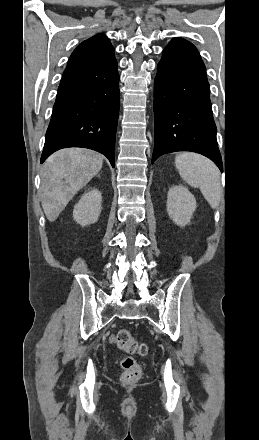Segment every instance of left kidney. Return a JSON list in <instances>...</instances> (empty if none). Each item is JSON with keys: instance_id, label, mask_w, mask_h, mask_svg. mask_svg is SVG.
Wrapping results in <instances>:
<instances>
[{"instance_id": "5707ae66", "label": "left kidney", "mask_w": 259, "mask_h": 440, "mask_svg": "<svg viewBox=\"0 0 259 440\" xmlns=\"http://www.w3.org/2000/svg\"><path fill=\"white\" fill-rule=\"evenodd\" d=\"M195 197L183 186H173L167 194V212L172 221L178 226L187 225L196 210Z\"/></svg>"}]
</instances>
